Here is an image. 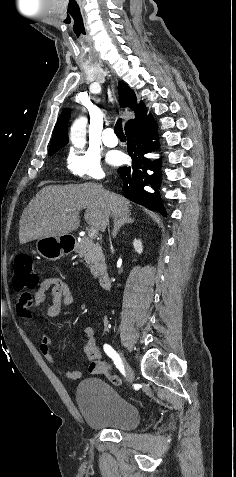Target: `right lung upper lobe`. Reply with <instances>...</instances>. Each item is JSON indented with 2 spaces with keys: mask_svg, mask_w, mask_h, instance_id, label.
<instances>
[{
  "mask_svg": "<svg viewBox=\"0 0 236 477\" xmlns=\"http://www.w3.org/2000/svg\"><path fill=\"white\" fill-rule=\"evenodd\" d=\"M119 99L123 107H130L135 110V119L129 120L125 124V131L135 125L144 124L153 120L152 116H146V109L143 103L137 105L135 93L124 83L119 82ZM70 117V110H64L59 116L54 128L53 137L49 150L64 147L68 143L67 125Z\"/></svg>",
  "mask_w": 236,
  "mask_h": 477,
  "instance_id": "1",
  "label": "right lung upper lobe"
}]
</instances>
